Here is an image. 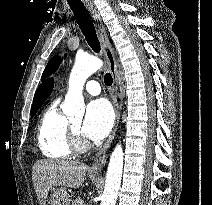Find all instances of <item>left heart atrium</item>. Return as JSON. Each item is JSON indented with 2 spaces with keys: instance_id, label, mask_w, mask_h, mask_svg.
Returning <instances> with one entry per match:
<instances>
[{
  "instance_id": "obj_1",
  "label": "left heart atrium",
  "mask_w": 212,
  "mask_h": 205,
  "mask_svg": "<svg viewBox=\"0 0 212 205\" xmlns=\"http://www.w3.org/2000/svg\"><path fill=\"white\" fill-rule=\"evenodd\" d=\"M114 114L110 104L104 99L90 102L81 127L84 137L92 141L105 138L112 129Z\"/></svg>"
}]
</instances>
